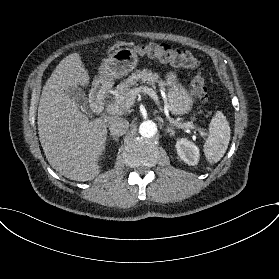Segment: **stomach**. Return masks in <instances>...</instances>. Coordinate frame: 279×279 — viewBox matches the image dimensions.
<instances>
[{
    "mask_svg": "<svg viewBox=\"0 0 279 279\" xmlns=\"http://www.w3.org/2000/svg\"><path fill=\"white\" fill-rule=\"evenodd\" d=\"M138 63L134 49L120 48L104 59L99 67V76L107 82L122 78L133 71ZM168 87L167 106L173 115L188 114L193 107L194 98L179 82L176 72L169 71L165 76Z\"/></svg>",
    "mask_w": 279,
    "mask_h": 279,
    "instance_id": "1",
    "label": "stomach"
}]
</instances>
